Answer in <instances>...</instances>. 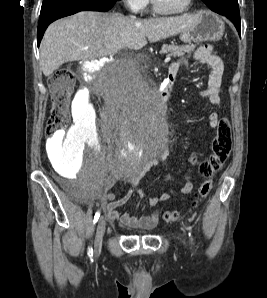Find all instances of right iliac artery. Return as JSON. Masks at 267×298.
Here are the masks:
<instances>
[{"instance_id":"right-iliac-artery-1","label":"right iliac artery","mask_w":267,"mask_h":298,"mask_svg":"<svg viewBox=\"0 0 267 298\" xmlns=\"http://www.w3.org/2000/svg\"><path fill=\"white\" fill-rule=\"evenodd\" d=\"M100 217V211H97L95 216H94V223H96L98 221ZM88 256L92 259L93 257V249L91 247H88V251H87Z\"/></svg>"}]
</instances>
